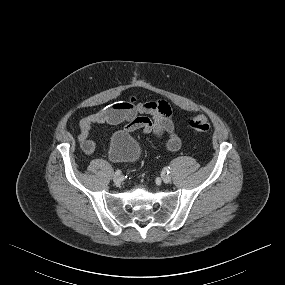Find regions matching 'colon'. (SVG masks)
<instances>
[{
    "mask_svg": "<svg viewBox=\"0 0 285 285\" xmlns=\"http://www.w3.org/2000/svg\"><path fill=\"white\" fill-rule=\"evenodd\" d=\"M189 124H190V127L194 131H196L197 133H200V134L207 132L209 129L208 119L203 114H199V115L194 116L190 120Z\"/></svg>",
    "mask_w": 285,
    "mask_h": 285,
    "instance_id": "1",
    "label": "colon"
}]
</instances>
